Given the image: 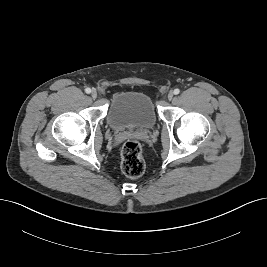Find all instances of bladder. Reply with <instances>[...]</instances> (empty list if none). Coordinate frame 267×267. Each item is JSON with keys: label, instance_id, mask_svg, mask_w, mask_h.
Here are the masks:
<instances>
[{"label": "bladder", "instance_id": "31cf9c89", "mask_svg": "<svg viewBox=\"0 0 267 267\" xmlns=\"http://www.w3.org/2000/svg\"><path fill=\"white\" fill-rule=\"evenodd\" d=\"M106 119L108 124L117 130H144L155 125L157 112L149 94L128 90L113 95Z\"/></svg>", "mask_w": 267, "mask_h": 267}]
</instances>
